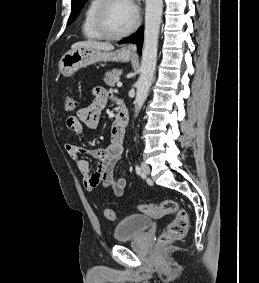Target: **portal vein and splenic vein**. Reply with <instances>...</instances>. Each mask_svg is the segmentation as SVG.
I'll list each match as a JSON object with an SVG mask.
<instances>
[{"instance_id": "1", "label": "portal vein and splenic vein", "mask_w": 259, "mask_h": 283, "mask_svg": "<svg viewBox=\"0 0 259 283\" xmlns=\"http://www.w3.org/2000/svg\"><path fill=\"white\" fill-rule=\"evenodd\" d=\"M117 87H122V82L118 81L117 82Z\"/></svg>"}]
</instances>
